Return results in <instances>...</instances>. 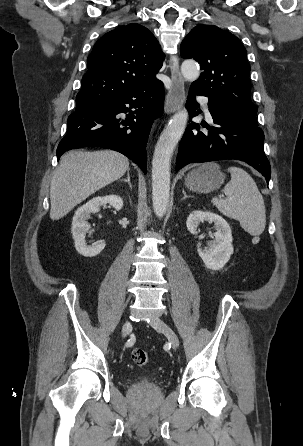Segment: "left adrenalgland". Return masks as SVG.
<instances>
[{"instance_id":"obj_1","label":"left adrenal gland","mask_w":303,"mask_h":446,"mask_svg":"<svg viewBox=\"0 0 303 446\" xmlns=\"http://www.w3.org/2000/svg\"><path fill=\"white\" fill-rule=\"evenodd\" d=\"M182 193H183V198H182L183 200L186 199V198H192V196H187L186 195V192L184 191V189L182 190Z\"/></svg>"}]
</instances>
